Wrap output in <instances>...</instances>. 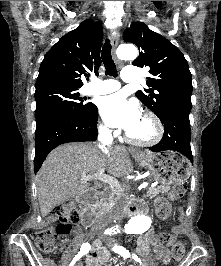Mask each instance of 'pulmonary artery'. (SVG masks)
Instances as JSON below:
<instances>
[{
    "label": "pulmonary artery",
    "instance_id": "pulmonary-artery-1",
    "mask_svg": "<svg viewBox=\"0 0 221 266\" xmlns=\"http://www.w3.org/2000/svg\"><path fill=\"white\" fill-rule=\"evenodd\" d=\"M140 77V69L134 65L124 67L121 78L124 82H138ZM120 88V83L116 80L106 79L100 80L88 89V93L92 95H104L112 93Z\"/></svg>",
    "mask_w": 221,
    "mask_h": 266
}]
</instances>
